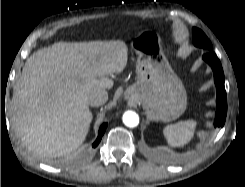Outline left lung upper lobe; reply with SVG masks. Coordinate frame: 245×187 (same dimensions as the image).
<instances>
[{
  "label": "left lung upper lobe",
  "instance_id": "5c2ea615",
  "mask_svg": "<svg viewBox=\"0 0 245 187\" xmlns=\"http://www.w3.org/2000/svg\"><path fill=\"white\" fill-rule=\"evenodd\" d=\"M193 43L197 47L205 48L209 51L213 49L210 40L206 35L198 28H193Z\"/></svg>",
  "mask_w": 245,
  "mask_h": 187
}]
</instances>
